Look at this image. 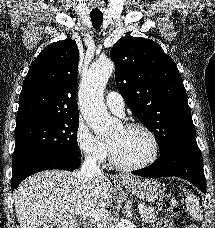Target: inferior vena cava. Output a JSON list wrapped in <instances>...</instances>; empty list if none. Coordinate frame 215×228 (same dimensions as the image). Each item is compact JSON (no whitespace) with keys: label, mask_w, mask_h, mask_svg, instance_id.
<instances>
[{"label":"inferior vena cava","mask_w":215,"mask_h":228,"mask_svg":"<svg viewBox=\"0 0 215 228\" xmlns=\"http://www.w3.org/2000/svg\"><path fill=\"white\" fill-rule=\"evenodd\" d=\"M97 160L98 158L93 156V154L86 156L79 172H77V176L83 184H87L89 180H94L97 176H103V170H100L99 166H97ZM96 228H105V226L103 224L101 226V222H96Z\"/></svg>","instance_id":"602c4592"}]
</instances>
